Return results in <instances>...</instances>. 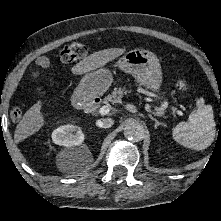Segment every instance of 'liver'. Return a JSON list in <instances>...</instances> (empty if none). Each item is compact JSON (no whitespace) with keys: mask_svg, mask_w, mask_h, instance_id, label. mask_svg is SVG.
<instances>
[{"mask_svg":"<svg viewBox=\"0 0 221 221\" xmlns=\"http://www.w3.org/2000/svg\"><path fill=\"white\" fill-rule=\"evenodd\" d=\"M125 51L126 49L122 48H110L94 52L73 66L71 71L75 75L88 73L94 69L106 65L110 61H113L124 54ZM41 108L42 102L38 101L24 114L14 133L15 143H19L29 136L35 134L45 124V119L41 112Z\"/></svg>","mask_w":221,"mask_h":221,"instance_id":"1","label":"liver"}]
</instances>
